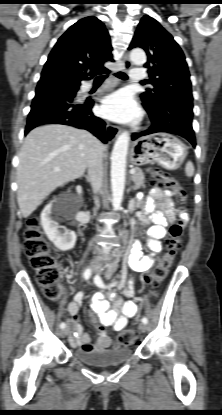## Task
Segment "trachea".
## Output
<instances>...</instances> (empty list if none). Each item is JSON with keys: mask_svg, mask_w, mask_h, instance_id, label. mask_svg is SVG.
<instances>
[{"mask_svg": "<svg viewBox=\"0 0 222 415\" xmlns=\"http://www.w3.org/2000/svg\"><path fill=\"white\" fill-rule=\"evenodd\" d=\"M115 76H117L118 78L122 79V80H127L128 76L124 73V72H118L115 74ZM107 77V75H100L96 77V81H103L105 78Z\"/></svg>", "mask_w": 222, "mask_h": 415, "instance_id": "1", "label": "trachea"}]
</instances>
